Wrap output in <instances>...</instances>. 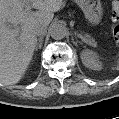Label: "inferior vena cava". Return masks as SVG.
<instances>
[{
  "mask_svg": "<svg viewBox=\"0 0 119 119\" xmlns=\"http://www.w3.org/2000/svg\"><path fill=\"white\" fill-rule=\"evenodd\" d=\"M34 30H35L36 35L38 36L43 35L47 31V26L44 24H40V25H37Z\"/></svg>",
  "mask_w": 119,
  "mask_h": 119,
  "instance_id": "inferior-vena-cava-1",
  "label": "inferior vena cava"
}]
</instances>
